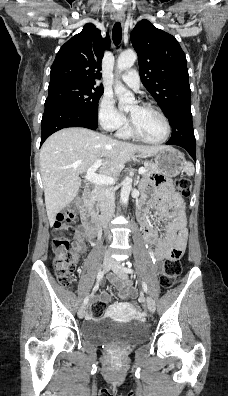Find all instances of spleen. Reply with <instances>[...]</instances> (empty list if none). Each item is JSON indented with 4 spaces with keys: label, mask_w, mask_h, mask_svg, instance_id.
<instances>
[{
    "label": "spleen",
    "mask_w": 228,
    "mask_h": 396,
    "mask_svg": "<svg viewBox=\"0 0 228 396\" xmlns=\"http://www.w3.org/2000/svg\"><path fill=\"white\" fill-rule=\"evenodd\" d=\"M183 170L188 176H192L195 172L194 165L191 162H186Z\"/></svg>",
    "instance_id": "spleen-1"
}]
</instances>
